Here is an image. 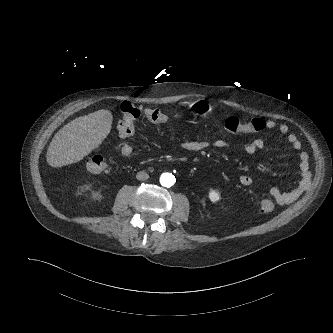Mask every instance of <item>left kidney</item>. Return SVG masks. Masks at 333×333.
Masks as SVG:
<instances>
[{
	"instance_id": "5707ae66",
	"label": "left kidney",
	"mask_w": 333,
	"mask_h": 333,
	"mask_svg": "<svg viewBox=\"0 0 333 333\" xmlns=\"http://www.w3.org/2000/svg\"><path fill=\"white\" fill-rule=\"evenodd\" d=\"M209 199H210L213 203H215V202H217V201L220 200V195H219V193H218L217 191H215V190H211V191L209 192Z\"/></svg>"
}]
</instances>
